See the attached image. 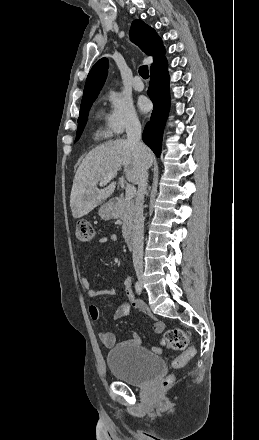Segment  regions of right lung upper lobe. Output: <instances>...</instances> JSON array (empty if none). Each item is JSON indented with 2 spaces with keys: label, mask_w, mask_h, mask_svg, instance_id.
<instances>
[{
  "label": "right lung upper lobe",
  "mask_w": 259,
  "mask_h": 440,
  "mask_svg": "<svg viewBox=\"0 0 259 440\" xmlns=\"http://www.w3.org/2000/svg\"><path fill=\"white\" fill-rule=\"evenodd\" d=\"M130 38L143 52L153 56L154 62L151 69L165 59V49L161 38L153 28L146 25L143 21L134 20L132 22ZM108 66V59L102 58L92 67L85 83L82 102L96 99L107 77Z\"/></svg>",
  "instance_id": "obj_1"
}]
</instances>
